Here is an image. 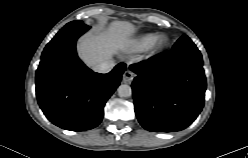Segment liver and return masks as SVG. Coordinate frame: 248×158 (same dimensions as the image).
I'll list each match as a JSON object with an SVG mask.
<instances>
[{"label": "liver", "instance_id": "6515ba94", "mask_svg": "<svg viewBox=\"0 0 248 158\" xmlns=\"http://www.w3.org/2000/svg\"><path fill=\"white\" fill-rule=\"evenodd\" d=\"M135 30V26L128 21H113L107 29L82 37L77 46L78 54L89 67L95 69L99 63L124 50Z\"/></svg>", "mask_w": 248, "mask_h": 158}]
</instances>
